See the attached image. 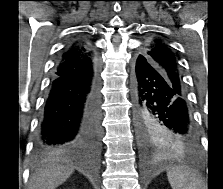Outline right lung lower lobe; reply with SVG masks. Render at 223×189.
Listing matches in <instances>:
<instances>
[{
	"label": "right lung lower lobe",
	"instance_id": "obj_1",
	"mask_svg": "<svg viewBox=\"0 0 223 189\" xmlns=\"http://www.w3.org/2000/svg\"><path fill=\"white\" fill-rule=\"evenodd\" d=\"M100 119L97 59L86 73L53 75L40 116L36 151L53 154L81 146L96 155L100 147Z\"/></svg>",
	"mask_w": 223,
	"mask_h": 189
}]
</instances>
